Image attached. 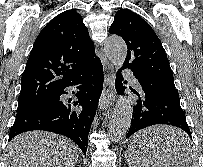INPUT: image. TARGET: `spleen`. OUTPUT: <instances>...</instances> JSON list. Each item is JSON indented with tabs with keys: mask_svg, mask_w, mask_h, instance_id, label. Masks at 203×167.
I'll return each instance as SVG.
<instances>
[{
	"mask_svg": "<svg viewBox=\"0 0 203 167\" xmlns=\"http://www.w3.org/2000/svg\"><path fill=\"white\" fill-rule=\"evenodd\" d=\"M150 146V145H149ZM151 147H140L137 145H132L128 148L129 158L127 159L129 167H172V163H163L158 160V154L155 149L157 145L151 144ZM179 167H197L196 156L192 152L188 153V160H183L179 162Z\"/></svg>",
	"mask_w": 203,
	"mask_h": 167,
	"instance_id": "obj_1",
	"label": "spleen"
}]
</instances>
